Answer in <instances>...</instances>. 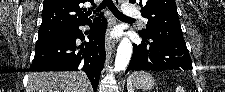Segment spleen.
<instances>
[{
    "mask_svg": "<svg viewBox=\"0 0 225 92\" xmlns=\"http://www.w3.org/2000/svg\"><path fill=\"white\" fill-rule=\"evenodd\" d=\"M132 76L130 75L127 79V90L128 92H134L133 86H132ZM176 92H184L183 88L177 87Z\"/></svg>",
    "mask_w": 225,
    "mask_h": 92,
    "instance_id": "1",
    "label": "spleen"
}]
</instances>
